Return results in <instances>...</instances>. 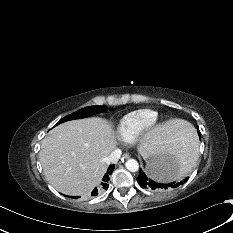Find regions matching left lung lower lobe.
<instances>
[{
	"mask_svg": "<svg viewBox=\"0 0 233 233\" xmlns=\"http://www.w3.org/2000/svg\"><path fill=\"white\" fill-rule=\"evenodd\" d=\"M198 135H199V137H201V133L199 130H198ZM187 180H188V177L185 178L183 181H180L177 183H175V182L167 183L169 181L158 182L151 176L149 171L145 172L142 170H140L139 175L137 177V181H138L139 185L142 188H146L149 190H166V189H170V188H176L179 185L184 184Z\"/></svg>",
	"mask_w": 233,
	"mask_h": 233,
	"instance_id": "1",
	"label": "left lung lower lobe"
}]
</instances>
